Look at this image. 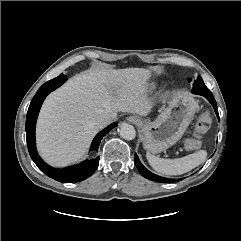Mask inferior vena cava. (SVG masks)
Here are the masks:
<instances>
[{
    "label": "inferior vena cava",
    "mask_w": 241,
    "mask_h": 241,
    "mask_svg": "<svg viewBox=\"0 0 241 241\" xmlns=\"http://www.w3.org/2000/svg\"><path fill=\"white\" fill-rule=\"evenodd\" d=\"M111 117L109 115H101L98 118L95 119L94 121V125L98 128L101 129L105 126H107L108 124L111 123Z\"/></svg>",
    "instance_id": "inferior-vena-cava-1"
}]
</instances>
